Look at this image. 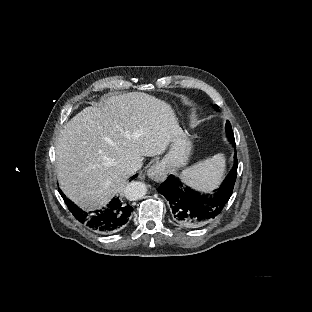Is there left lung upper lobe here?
<instances>
[{"label":"left lung upper lobe","instance_id":"left-lung-upper-lobe-1","mask_svg":"<svg viewBox=\"0 0 312 312\" xmlns=\"http://www.w3.org/2000/svg\"><path fill=\"white\" fill-rule=\"evenodd\" d=\"M216 108H218V107L216 106ZM226 134H227L230 141L235 142L234 134H233L232 127H231V124L229 121H227V123H226Z\"/></svg>","mask_w":312,"mask_h":312}]
</instances>
